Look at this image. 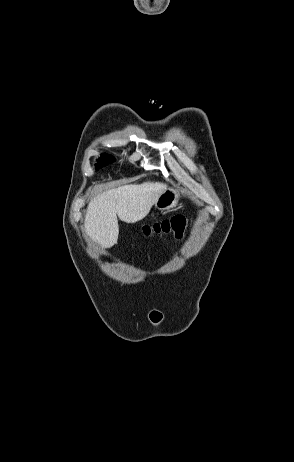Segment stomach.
Returning a JSON list of instances; mask_svg holds the SVG:
<instances>
[{"mask_svg": "<svg viewBox=\"0 0 294 462\" xmlns=\"http://www.w3.org/2000/svg\"><path fill=\"white\" fill-rule=\"evenodd\" d=\"M178 200L179 194L177 190L166 188L155 202L154 207L161 211H169L177 205Z\"/></svg>", "mask_w": 294, "mask_h": 462, "instance_id": "1", "label": "stomach"}]
</instances>
